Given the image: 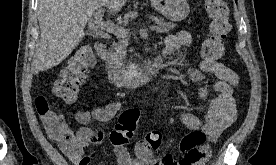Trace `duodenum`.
I'll return each mask as SVG.
<instances>
[{
    "instance_id": "410a0bca",
    "label": "duodenum",
    "mask_w": 276,
    "mask_h": 165,
    "mask_svg": "<svg viewBox=\"0 0 276 165\" xmlns=\"http://www.w3.org/2000/svg\"><path fill=\"white\" fill-rule=\"evenodd\" d=\"M95 51L100 59L104 61L106 60L107 46L104 42H97L95 44ZM161 65V59L158 58L143 67H138L132 71H124L117 69L109 62H106L110 82L115 87H123L135 81H148L157 76Z\"/></svg>"
}]
</instances>
